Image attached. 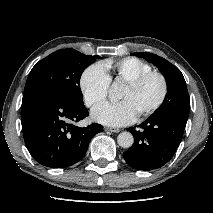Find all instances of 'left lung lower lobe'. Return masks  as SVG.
<instances>
[{
	"label": "left lung lower lobe",
	"instance_id": "0a47b994",
	"mask_svg": "<svg viewBox=\"0 0 213 213\" xmlns=\"http://www.w3.org/2000/svg\"><path fill=\"white\" fill-rule=\"evenodd\" d=\"M188 117L166 113L148 118L138 128L130 127L133 146L123 153L125 161L137 170L157 169L170 161L184 133Z\"/></svg>",
	"mask_w": 213,
	"mask_h": 213
}]
</instances>
